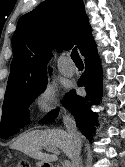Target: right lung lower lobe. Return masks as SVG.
I'll list each match as a JSON object with an SVG mask.
<instances>
[{"mask_svg":"<svg viewBox=\"0 0 125 167\" xmlns=\"http://www.w3.org/2000/svg\"><path fill=\"white\" fill-rule=\"evenodd\" d=\"M81 54L85 58V72L80 77L78 85L85 87L87 95L78 96L75 91H72L66 95L64 103L74 115L81 133L87 139L92 140L97 120L96 113L91 110V106L98 104L102 95L101 64L92 37L82 48ZM58 113L59 109L52 110L39 123L47 124L54 121Z\"/></svg>","mask_w":125,"mask_h":167,"instance_id":"obj_1","label":"right lung lower lobe"}]
</instances>
